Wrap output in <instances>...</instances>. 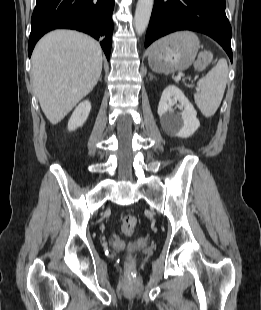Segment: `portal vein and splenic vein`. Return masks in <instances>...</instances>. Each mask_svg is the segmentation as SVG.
Returning <instances> with one entry per match:
<instances>
[{"label": "portal vein and splenic vein", "mask_w": 261, "mask_h": 310, "mask_svg": "<svg viewBox=\"0 0 261 310\" xmlns=\"http://www.w3.org/2000/svg\"><path fill=\"white\" fill-rule=\"evenodd\" d=\"M180 77H181V75H180V74H178V75H177V79H179ZM197 90H198V89H197Z\"/></svg>", "instance_id": "obj_1"}]
</instances>
